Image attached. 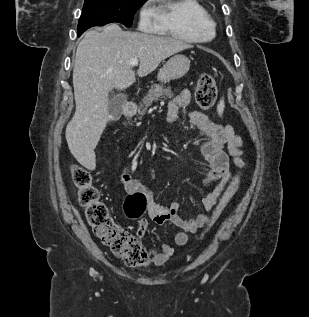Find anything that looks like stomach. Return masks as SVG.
Here are the masks:
<instances>
[{
  "label": "stomach",
  "instance_id": "1",
  "mask_svg": "<svg viewBox=\"0 0 309 317\" xmlns=\"http://www.w3.org/2000/svg\"><path fill=\"white\" fill-rule=\"evenodd\" d=\"M190 68V59L182 54L171 57L168 62L160 69L157 79L166 83L183 77Z\"/></svg>",
  "mask_w": 309,
  "mask_h": 317
}]
</instances>
